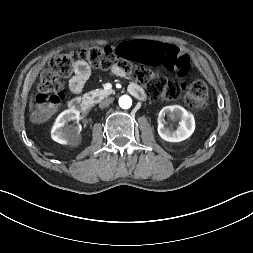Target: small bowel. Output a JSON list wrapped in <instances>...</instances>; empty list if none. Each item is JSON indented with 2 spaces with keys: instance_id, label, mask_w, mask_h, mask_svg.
Segmentation results:
<instances>
[{
  "instance_id": "obj_1",
  "label": "small bowel",
  "mask_w": 253,
  "mask_h": 253,
  "mask_svg": "<svg viewBox=\"0 0 253 253\" xmlns=\"http://www.w3.org/2000/svg\"><path fill=\"white\" fill-rule=\"evenodd\" d=\"M137 42V41H135ZM112 72L117 76H125V72L118 67H113ZM90 76V69L86 62L78 61L73 68V75L69 80V88L73 93H80Z\"/></svg>"
}]
</instances>
